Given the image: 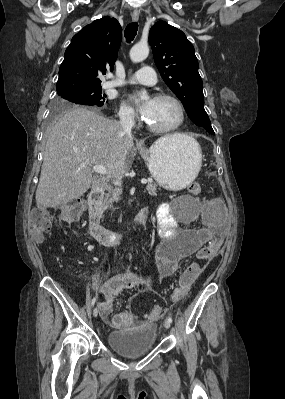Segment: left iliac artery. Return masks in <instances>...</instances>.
I'll use <instances>...</instances> for the list:
<instances>
[{"instance_id": "1", "label": "left iliac artery", "mask_w": 285, "mask_h": 399, "mask_svg": "<svg viewBox=\"0 0 285 399\" xmlns=\"http://www.w3.org/2000/svg\"><path fill=\"white\" fill-rule=\"evenodd\" d=\"M167 320H168L170 323H172V321H173V319H172L171 316H168Z\"/></svg>"}]
</instances>
